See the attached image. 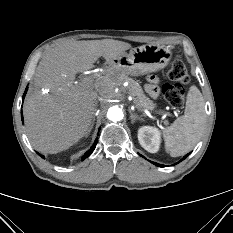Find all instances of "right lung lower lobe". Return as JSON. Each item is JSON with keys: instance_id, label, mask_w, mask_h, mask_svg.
I'll return each instance as SVG.
<instances>
[{"instance_id": "98d812e1", "label": "right lung lower lobe", "mask_w": 233, "mask_h": 233, "mask_svg": "<svg viewBox=\"0 0 233 233\" xmlns=\"http://www.w3.org/2000/svg\"><path fill=\"white\" fill-rule=\"evenodd\" d=\"M28 90V87L26 88L25 92H24V95H23V98L22 100L24 99L25 97V94ZM22 121H23V115H22ZM97 142H98V139L95 140L94 144L92 145V147L84 154V156L82 157V160L87 158L92 152L93 150L95 149L96 145H97ZM42 158H45L43 155H40Z\"/></svg>"}]
</instances>
